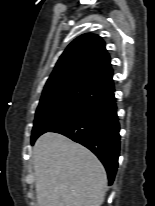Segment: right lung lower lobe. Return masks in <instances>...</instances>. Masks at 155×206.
Listing matches in <instances>:
<instances>
[{
    "instance_id": "1",
    "label": "right lung lower lobe",
    "mask_w": 155,
    "mask_h": 206,
    "mask_svg": "<svg viewBox=\"0 0 155 206\" xmlns=\"http://www.w3.org/2000/svg\"><path fill=\"white\" fill-rule=\"evenodd\" d=\"M119 130L117 107L112 91L92 107L49 132L63 134L90 149L105 166L111 185L118 167Z\"/></svg>"
}]
</instances>
